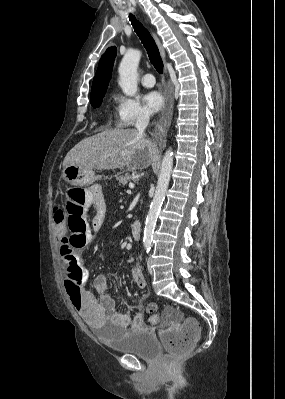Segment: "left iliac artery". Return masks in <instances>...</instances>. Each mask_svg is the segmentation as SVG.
<instances>
[{"label": "left iliac artery", "mask_w": 285, "mask_h": 399, "mask_svg": "<svg viewBox=\"0 0 285 399\" xmlns=\"http://www.w3.org/2000/svg\"><path fill=\"white\" fill-rule=\"evenodd\" d=\"M149 250H150V249L148 248V249H147V253H149Z\"/></svg>", "instance_id": "44dca946"}]
</instances>
